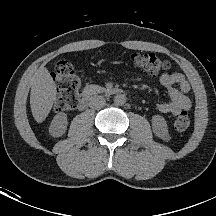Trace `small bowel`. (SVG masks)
I'll list each match as a JSON object with an SVG mask.
<instances>
[{"label":"small bowel","mask_w":216,"mask_h":216,"mask_svg":"<svg viewBox=\"0 0 216 216\" xmlns=\"http://www.w3.org/2000/svg\"><path fill=\"white\" fill-rule=\"evenodd\" d=\"M160 83L168 90L169 100L156 105L158 111L178 115L191 108L188 97L190 84L181 73L165 72L160 76Z\"/></svg>","instance_id":"obj_1"}]
</instances>
